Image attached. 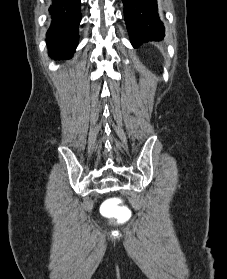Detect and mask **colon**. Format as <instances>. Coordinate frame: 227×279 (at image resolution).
Listing matches in <instances>:
<instances>
[{"label":"colon","instance_id":"1","mask_svg":"<svg viewBox=\"0 0 227 279\" xmlns=\"http://www.w3.org/2000/svg\"><path fill=\"white\" fill-rule=\"evenodd\" d=\"M129 216H130L129 209L127 207L120 206L118 208V211L115 214H113L112 216H110V218H112L114 220L125 221L129 218Z\"/></svg>","mask_w":227,"mask_h":279}]
</instances>
